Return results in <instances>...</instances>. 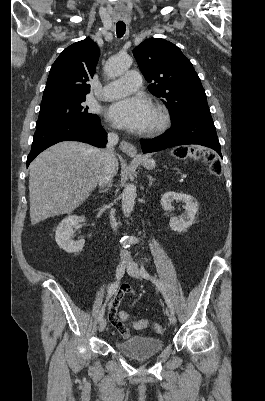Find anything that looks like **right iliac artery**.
<instances>
[{"label": "right iliac artery", "mask_w": 265, "mask_h": 401, "mask_svg": "<svg viewBox=\"0 0 265 401\" xmlns=\"http://www.w3.org/2000/svg\"><path fill=\"white\" fill-rule=\"evenodd\" d=\"M119 283H120L119 281H115L110 285L106 302L117 291V289L119 287ZM105 306H106V303L104 304V306L102 307L101 311L99 312V315H98V321L99 322L103 319Z\"/></svg>", "instance_id": "82829eb1"}]
</instances>
